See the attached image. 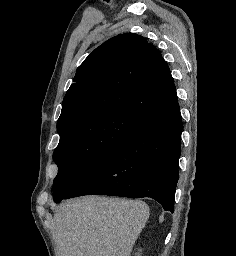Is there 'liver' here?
<instances>
[{
    "label": "liver",
    "instance_id": "liver-1",
    "mask_svg": "<svg viewBox=\"0 0 236 256\" xmlns=\"http://www.w3.org/2000/svg\"><path fill=\"white\" fill-rule=\"evenodd\" d=\"M142 200L83 196L59 204L52 222L57 256H131L149 218Z\"/></svg>",
    "mask_w": 236,
    "mask_h": 256
}]
</instances>
